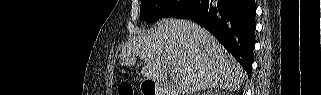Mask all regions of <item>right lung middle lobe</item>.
<instances>
[{"instance_id":"obj_1","label":"right lung middle lobe","mask_w":321,"mask_h":95,"mask_svg":"<svg viewBox=\"0 0 321 95\" xmlns=\"http://www.w3.org/2000/svg\"><path fill=\"white\" fill-rule=\"evenodd\" d=\"M205 0H141L140 19L153 22L160 18L173 16L188 18L196 12Z\"/></svg>"}]
</instances>
